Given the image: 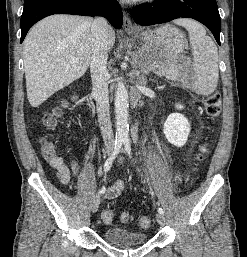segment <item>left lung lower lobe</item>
Wrapping results in <instances>:
<instances>
[{
  "label": "left lung lower lobe",
  "mask_w": 247,
  "mask_h": 257,
  "mask_svg": "<svg viewBox=\"0 0 247 257\" xmlns=\"http://www.w3.org/2000/svg\"><path fill=\"white\" fill-rule=\"evenodd\" d=\"M132 17L141 25L165 23L177 18H192L213 33L220 44L221 20L216 0H155L153 5L142 4L132 9Z\"/></svg>",
  "instance_id": "left-lung-lower-lobe-1"
}]
</instances>
